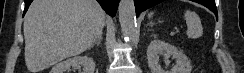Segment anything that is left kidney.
<instances>
[{
	"mask_svg": "<svg viewBox=\"0 0 244 73\" xmlns=\"http://www.w3.org/2000/svg\"><path fill=\"white\" fill-rule=\"evenodd\" d=\"M165 54L173 56L176 64L170 71H164L158 64L159 55ZM148 65L152 73H191L192 65L183 51L177 49L174 45L161 40H153L147 48Z\"/></svg>",
	"mask_w": 244,
	"mask_h": 73,
	"instance_id": "5707ae66",
	"label": "left kidney"
}]
</instances>
